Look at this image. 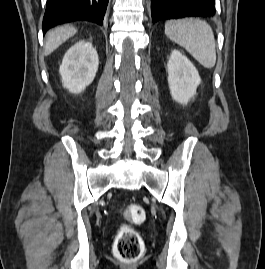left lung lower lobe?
<instances>
[{
	"label": "left lung lower lobe",
	"mask_w": 265,
	"mask_h": 269,
	"mask_svg": "<svg viewBox=\"0 0 265 269\" xmlns=\"http://www.w3.org/2000/svg\"><path fill=\"white\" fill-rule=\"evenodd\" d=\"M216 13L214 0H151L152 21L183 17H213Z\"/></svg>",
	"instance_id": "1"
}]
</instances>
